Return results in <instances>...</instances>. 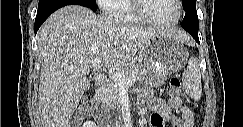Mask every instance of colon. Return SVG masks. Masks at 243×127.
I'll use <instances>...</instances> for the list:
<instances>
[{"label": "colon", "instance_id": "obj_1", "mask_svg": "<svg viewBox=\"0 0 243 127\" xmlns=\"http://www.w3.org/2000/svg\"><path fill=\"white\" fill-rule=\"evenodd\" d=\"M170 94L176 97H182L181 82L178 78L174 77L170 80Z\"/></svg>", "mask_w": 243, "mask_h": 127}]
</instances>
